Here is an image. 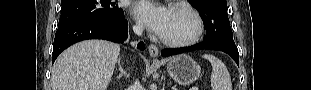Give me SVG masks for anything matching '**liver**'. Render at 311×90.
Masks as SVG:
<instances>
[{"instance_id":"liver-1","label":"liver","mask_w":311,"mask_h":90,"mask_svg":"<svg viewBox=\"0 0 311 90\" xmlns=\"http://www.w3.org/2000/svg\"><path fill=\"white\" fill-rule=\"evenodd\" d=\"M120 54L118 44L86 40L65 50L52 68V90H106Z\"/></svg>"}]
</instances>
